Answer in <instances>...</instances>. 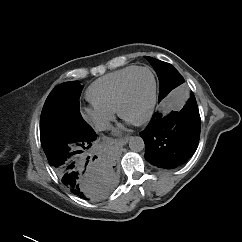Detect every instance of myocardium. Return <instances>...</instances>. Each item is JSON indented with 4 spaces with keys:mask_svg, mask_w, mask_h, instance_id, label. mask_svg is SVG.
Listing matches in <instances>:
<instances>
[{
    "mask_svg": "<svg viewBox=\"0 0 242 242\" xmlns=\"http://www.w3.org/2000/svg\"><path fill=\"white\" fill-rule=\"evenodd\" d=\"M140 71H146L151 75L152 81H153V89H152L151 100H150L148 109H147L146 113L144 114V116H142L140 119H138L136 121H130L134 125H142V124L148 122L154 113L155 106L157 103L158 82H157V78H156L154 71L148 67H137L126 77V79L124 80V82L121 86V89H120V92L118 95V100H117V107H116L118 115L121 118L127 120L123 115L122 107H123V104L127 97L130 81L133 78V76Z\"/></svg>",
    "mask_w": 242,
    "mask_h": 242,
    "instance_id": "f54148a6",
    "label": "myocardium"
}]
</instances>
